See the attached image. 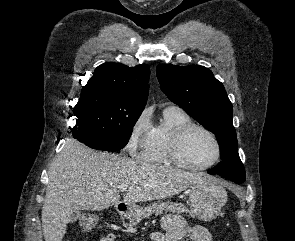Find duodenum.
Wrapping results in <instances>:
<instances>
[{"mask_svg": "<svg viewBox=\"0 0 295 241\" xmlns=\"http://www.w3.org/2000/svg\"><path fill=\"white\" fill-rule=\"evenodd\" d=\"M116 210L122 214L126 211V205L124 203H117L116 204Z\"/></svg>", "mask_w": 295, "mask_h": 241, "instance_id": "410a0bca", "label": "duodenum"}]
</instances>
